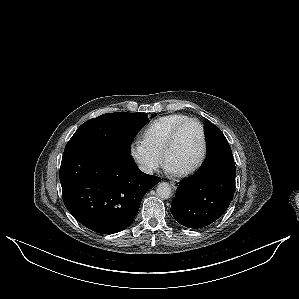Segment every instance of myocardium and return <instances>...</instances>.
Listing matches in <instances>:
<instances>
[{"instance_id": "obj_1", "label": "myocardium", "mask_w": 299, "mask_h": 299, "mask_svg": "<svg viewBox=\"0 0 299 299\" xmlns=\"http://www.w3.org/2000/svg\"><path fill=\"white\" fill-rule=\"evenodd\" d=\"M194 124L198 127L199 132H200V149H199V154L197 157V160L195 161V163L193 165H191L190 167L184 169V170H175L176 174L179 176H185L188 175L192 172H194L195 170H197L199 168V166L202 164L204 157H205V153H206V137H205V130L204 127L202 125V123L197 120V119H189L186 122H184L183 124H181L180 126H178L170 135L163 153H162V161L166 166H169L168 163V155L170 150L172 149L175 140L178 136V134L180 133V131L182 129H184L185 127H187L188 125Z\"/></svg>"}]
</instances>
